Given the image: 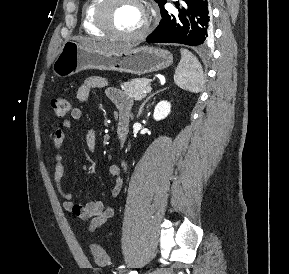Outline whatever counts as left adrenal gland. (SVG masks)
Masks as SVG:
<instances>
[{"mask_svg": "<svg viewBox=\"0 0 289 274\" xmlns=\"http://www.w3.org/2000/svg\"><path fill=\"white\" fill-rule=\"evenodd\" d=\"M162 91V90H161ZM160 91H157V92H155V93H152L151 95H149L147 98H146V100L142 103V105L140 106V108H139V112H138V115H137V117H139L140 115H141V113H142V111H143V109H144V106L146 105V103L155 95V94H157V93H159Z\"/></svg>", "mask_w": 289, "mask_h": 274, "instance_id": "a2214340", "label": "left adrenal gland"}]
</instances>
